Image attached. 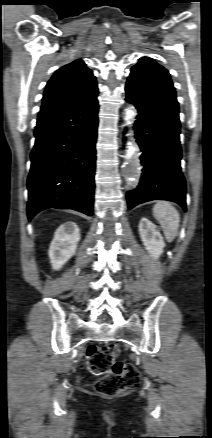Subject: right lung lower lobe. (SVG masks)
<instances>
[{"label": "right lung lower lobe", "mask_w": 212, "mask_h": 438, "mask_svg": "<svg viewBox=\"0 0 212 438\" xmlns=\"http://www.w3.org/2000/svg\"><path fill=\"white\" fill-rule=\"evenodd\" d=\"M97 97L41 111L27 180L28 219L48 208L93 215Z\"/></svg>", "instance_id": "right-lung-lower-lobe-1"}]
</instances>
